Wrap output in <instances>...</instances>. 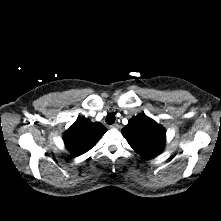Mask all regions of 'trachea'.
<instances>
[{
    "label": "trachea",
    "mask_w": 221,
    "mask_h": 221,
    "mask_svg": "<svg viewBox=\"0 0 221 221\" xmlns=\"http://www.w3.org/2000/svg\"><path fill=\"white\" fill-rule=\"evenodd\" d=\"M106 123L111 125L115 122V116L114 114H109L106 119H105Z\"/></svg>",
    "instance_id": "3493384b"
}]
</instances>
